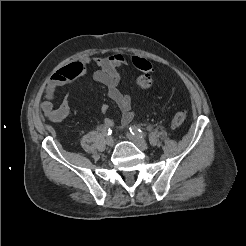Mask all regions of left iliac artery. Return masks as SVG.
Wrapping results in <instances>:
<instances>
[{"label":"left iliac artery","instance_id":"1","mask_svg":"<svg viewBox=\"0 0 246 246\" xmlns=\"http://www.w3.org/2000/svg\"><path fill=\"white\" fill-rule=\"evenodd\" d=\"M130 132L133 134V135H137V136H140V137H145L146 134L141 130L139 129L138 127L136 126H131L129 128Z\"/></svg>","mask_w":246,"mask_h":246}]
</instances>
